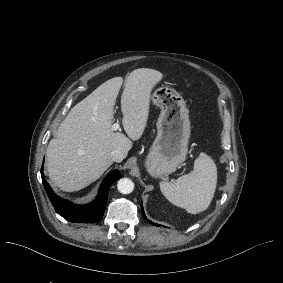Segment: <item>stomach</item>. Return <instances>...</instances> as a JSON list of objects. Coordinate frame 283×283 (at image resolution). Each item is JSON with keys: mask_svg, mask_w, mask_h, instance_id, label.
<instances>
[{"mask_svg": "<svg viewBox=\"0 0 283 283\" xmlns=\"http://www.w3.org/2000/svg\"><path fill=\"white\" fill-rule=\"evenodd\" d=\"M151 99L161 113L145 166L151 176L162 177L174 172L186 159L191 128L189 110L181 94L170 87L156 88Z\"/></svg>", "mask_w": 283, "mask_h": 283, "instance_id": "0dacf381", "label": "stomach"}]
</instances>
